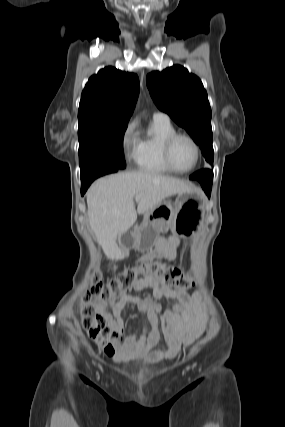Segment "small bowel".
<instances>
[{
  "mask_svg": "<svg viewBox=\"0 0 285 427\" xmlns=\"http://www.w3.org/2000/svg\"><path fill=\"white\" fill-rule=\"evenodd\" d=\"M179 238L175 235L157 238L155 249L150 251L142 260H153L165 257L174 260L177 256ZM141 260V261H142ZM153 290V298H141L139 293L145 289ZM134 293H123L110 304L104 301L93 302L95 310L106 321L108 327L122 336L125 333L124 308L128 304L135 305L142 320L145 322L143 334L137 338L135 333L129 335L122 342H114L110 355L123 363L142 362L147 365L159 363L174 358L180 349L189 346L204 330L205 309L199 291L188 294L178 287L162 286L154 278L141 277L133 284ZM170 298L174 301L171 310H164L155 300ZM192 310L195 318L186 323L180 322V315ZM159 317L162 320L160 331ZM167 343L165 350L152 351L161 339Z\"/></svg>",
  "mask_w": 285,
  "mask_h": 427,
  "instance_id": "obj_1",
  "label": "small bowel"
}]
</instances>
